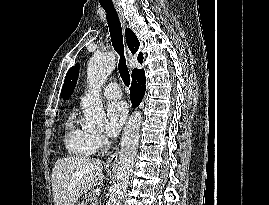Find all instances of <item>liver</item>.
Wrapping results in <instances>:
<instances>
[{"label": "liver", "mask_w": 269, "mask_h": 205, "mask_svg": "<svg viewBox=\"0 0 269 205\" xmlns=\"http://www.w3.org/2000/svg\"><path fill=\"white\" fill-rule=\"evenodd\" d=\"M100 160L83 156L58 159L52 170L54 205H76L80 196L104 180Z\"/></svg>", "instance_id": "1"}]
</instances>
